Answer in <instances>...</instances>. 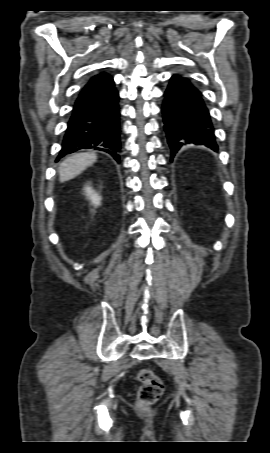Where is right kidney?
<instances>
[{
	"label": "right kidney",
	"instance_id": "ca27d5eb",
	"mask_svg": "<svg viewBox=\"0 0 270 453\" xmlns=\"http://www.w3.org/2000/svg\"><path fill=\"white\" fill-rule=\"evenodd\" d=\"M85 192H86V195L91 200L93 205L98 206L100 204L101 198L98 196L97 193L94 192V190L90 186H87L85 188Z\"/></svg>",
	"mask_w": 270,
	"mask_h": 453
}]
</instances>
